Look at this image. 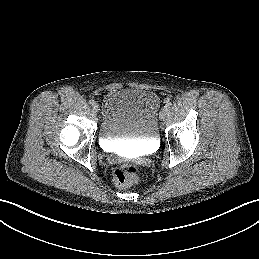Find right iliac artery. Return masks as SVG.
Instances as JSON below:
<instances>
[{
  "instance_id": "82829eb1",
  "label": "right iliac artery",
  "mask_w": 259,
  "mask_h": 259,
  "mask_svg": "<svg viewBox=\"0 0 259 259\" xmlns=\"http://www.w3.org/2000/svg\"><path fill=\"white\" fill-rule=\"evenodd\" d=\"M89 104L93 106L95 104V101L91 99L89 100Z\"/></svg>"
}]
</instances>
